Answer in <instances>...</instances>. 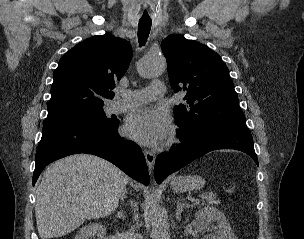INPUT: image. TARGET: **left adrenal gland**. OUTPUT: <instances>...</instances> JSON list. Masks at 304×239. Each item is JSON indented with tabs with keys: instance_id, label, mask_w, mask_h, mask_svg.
I'll return each mask as SVG.
<instances>
[{
	"instance_id": "obj_1",
	"label": "left adrenal gland",
	"mask_w": 304,
	"mask_h": 239,
	"mask_svg": "<svg viewBox=\"0 0 304 239\" xmlns=\"http://www.w3.org/2000/svg\"><path fill=\"white\" fill-rule=\"evenodd\" d=\"M176 203H177L176 219L178 220V222H180V220H181V213L183 212V210L185 208L190 207V205L187 204V203L180 202L179 200H176Z\"/></svg>"
}]
</instances>
